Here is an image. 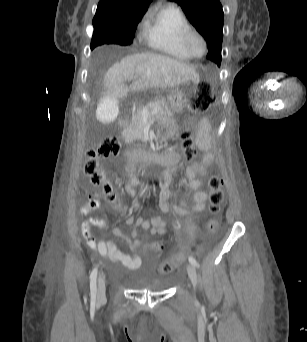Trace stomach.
Here are the masks:
<instances>
[{"label": "stomach", "mask_w": 307, "mask_h": 342, "mask_svg": "<svg viewBox=\"0 0 307 342\" xmlns=\"http://www.w3.org/2000/svg\"><path fill=\"white\" fill-rule=\"evenodd\" d=\"M196 88L197 83L190 81L174 90L168 98L170 108L174 112L183 111L187 107L189 98L196 91Z\"/></svg>", "instance_id": "stomach-1"}]
</instances>
